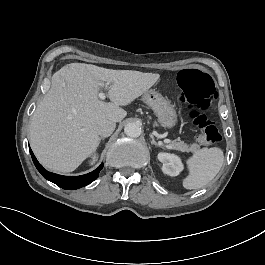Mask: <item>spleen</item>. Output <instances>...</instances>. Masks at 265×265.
Instances as JSON below:
<instances>
[{
  "instance_id": "spleen-1",
  "label": "spleen",
  "mask_w": 265,
  "mask_h": 265,
  "mask_svg": "<svg viewBox=\"0 0 265 265\" xmlns=\"http://www.w3.org/2000/svg\"><path fill=\"white\" fill-rule=\"evenodd\" d=\"M224 162L223 151L217 147L202 148L187 160L190 174L183 181L186 189H198L208 184L220 171Z\"/></svg>"
}]
</instances>
